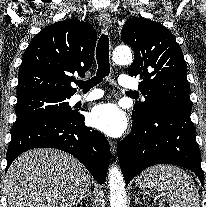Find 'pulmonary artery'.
Instances as JSON below:
<instances>
[{
  "label": "pulmonary artery",
  "instance_id": "e3ab8cb5",
  "mask_svg": "<svg viewBox=\"0 0 206 207\" xmlns=\"http://www.w3.org/2000/svg\"><path fill=\"white\" fill-rule=\"evenodd\" d=\"M131 80H132L131 77H129L128 75L123 74L120 75L119 77V83L122 86L130 89H137L138 85L136 83H133ZM103 96H104V91L100 89H93L86 94L74 95L73 100L74 102H91V101L98 100Z\"/></svg>",
  "mask_w": 206,
  "mask_h": 207
}]
</instances>
